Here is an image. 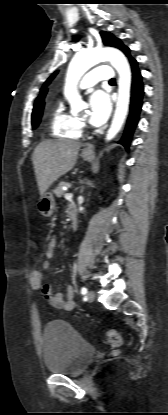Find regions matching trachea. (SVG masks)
I'll return each instance as SVG.
<instances>
[{"mask_svg": "<svg viewBox=\"0 0 168 415\" xmlns=\"http://www.w3.org/2000/svg\"><path fill=\"white\" fill-rule=\"evenodd\" d=\"M114 82H115V79H111V80H110V83H114Z\"/></svg>", "mask_w": 168, "mask_h": 415, "instance_id": "obj_1", "label": "trachea"}]
</instances>
